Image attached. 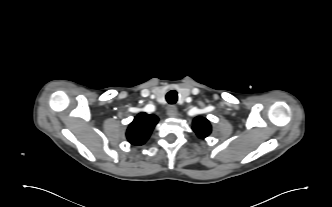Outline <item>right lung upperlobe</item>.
<instances>
[{"label":"right lung upper lobe","instance_id":"1","mask_svg":"<svg viewBox=\"0 0 332 207\" xmlns=\"http://www.w3.org/2000/svg\"><path fill=\"white\" fill-rule=\"evenodd\" d=\"M158 122V117L144 112L139 113L129 124L126 132L128 141L135 146L144 144L149 138L153 128Z\"/></svg>","mask_w":332,"mask_h":207}]
</instances>
